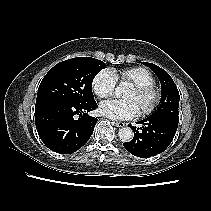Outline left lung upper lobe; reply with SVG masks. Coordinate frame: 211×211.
<instances>
[{
    "label": "left lung upper lobe",
    "mask_w": 211,
    "mask_h": 211,
    "mask_svg": "<svg viewBox=\"0 0 211 211\" xmlns=\"http://www.w3.org/2000/svg\"><path fill=\"white\" fill-rule=\"evenodd\" d=\"M145 66L152 69L158 76L162 87L161 104L151 117H160L179 123L178 106L180 95L171 76L162 68L148 62H142Z\"/></svg>",
    "instance_id": "left-lung-upper-lobe-1"
}]
</instances>
